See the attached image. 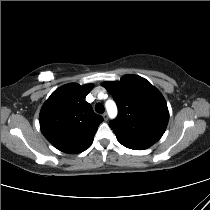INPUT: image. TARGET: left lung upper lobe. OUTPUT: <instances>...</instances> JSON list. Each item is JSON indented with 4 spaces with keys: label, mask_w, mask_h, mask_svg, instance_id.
<instances>
[{
    "label": "left lung upper lobe",
    "mask_w": 210,
    "mask_h": 210,
    "mask_svg": "<svg viewBox=\"0 0 210 210\" xmlns=\"http://www.w3.org/2000/svg\"><path fill=\"white\" fill-rule=\"evenodd\" d=\"M102 86L117 103L118 116L110 127L122 145L143 150L162 137L169 112L162 94L151 83L137 75H125Z\"/></svg>",
    "instance_id": "left-lung-upper-lobe-1"
}]
</instances>
